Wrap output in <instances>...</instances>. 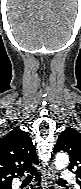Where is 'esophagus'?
Segmentation results:
<instances>
[{"instance_id":"esophagus-1","label":"esophagus","mask_w":81,"mask_h":189,"mask_svg":"<svg viewBox=\"0 0 81 189\" xmlns=\"http://www.w3.org/2000/svg\"><path fill=\"white\" fill-rule=\"evenodd\" d=\"M55 176H56L55 168L53 166L49 167L43 189H51L52 183L55 180Z\"/></svg>"}]
</instances>
